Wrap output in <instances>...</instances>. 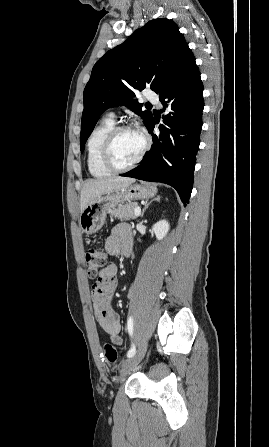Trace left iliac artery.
<instances>
[{"label":"left iliac artery","mask_w":269,"mask_h":447,"mask_svg":"<svg viewBox=\"0 0 269 447\" xmlns=\"http://www.w3.org/2000/svg\"><path fill=\"white\" fill-rule=\"evenodd\" d=\"M127 329L129 334L132 336L133 335V317H129L128 321H127ZM136 352L135 349V345L133 344L131 349L128 351L127 353V357H132Z\"/></svg>","instance_id":"obj_1"}]
</instances>
